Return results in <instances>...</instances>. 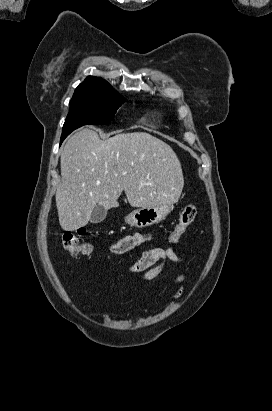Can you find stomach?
<instances>
[{
  "label": "stomach",
  "instance_id": "stomach-1",
  "mask_svg": "<svg viewBox=\"0 0 272 411\" xmlns=\"http://www.w3.org/2000/svg\"><path fill=\"white\" fill-rule=\"evenodd\" d=\"M173 204H163L148 208H139L125 217V222L131 227L144 228L164 220L172 211Z\"/></svg>",
  "mask_w": 272,
  "mask_h": 411
}]
</instances>
